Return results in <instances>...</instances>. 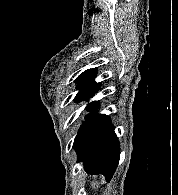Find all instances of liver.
Instances as JSON below:
<instances>
[{
	"label": "liver",
	"mask_w": 178,
	"mask_h": 195,
	"mask_svg": "<svg viewBox=\"0 0 178 195\" xmlns=\"http://www.w3.org/2000/svg\"><path fill=\"white\" fill-rule=\"evenodd\" d=\"M92 187H93V188H98V183H97V181L92 182Z\"/></svg>",
	"instance_id": "obj_1"
}]
</instances>
